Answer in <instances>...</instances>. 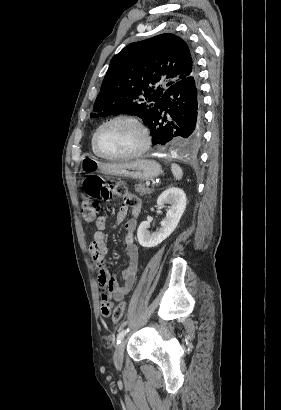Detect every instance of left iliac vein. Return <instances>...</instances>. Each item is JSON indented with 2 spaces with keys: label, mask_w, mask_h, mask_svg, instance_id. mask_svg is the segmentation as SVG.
<instances>
[{
  "label": "left iliac vein",
  "mask_w": 281,
  "mask_h": 410,
  "mask_svg": "<svg viewBox=\"0 0 281 410\" xmlns=\"http://www.w3.org/2000/svg\"><path fill=\"white\" fill-rule=\"evenodd\" d=\"M124 349H125V341H121L115 349L113 361L117 368H120L123 363V356H124Z\"/></svg>",
  "instance_id": "1"
}]
</instances>
